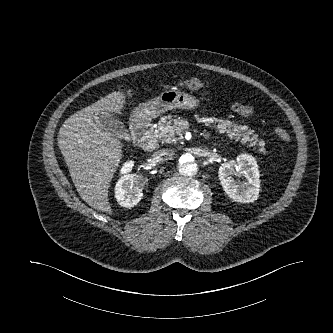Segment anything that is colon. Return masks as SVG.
Listing matches in <instances>:
<instances>
[{
    "label": "colon",
    "mask_w": 333,
    "mask_h": 333,
    "mask_svg": "<svg viewBox=\"0 0 333 333\" xmlns=\"http://www.w3.org/2000/svg\"><path fill=\"white\" fill-rule=\"evenodd\" d=\"M181 87L187 90L195 91L202 89L204 87V83L198 78H188L181 83ZM122 93L126 95L128 91L122 89ZM274 134L282 142L290 141L289 133L283 128L276 127L274 129Z\"/></svg>",
    "instance_id": "1"
}]
</instances>
